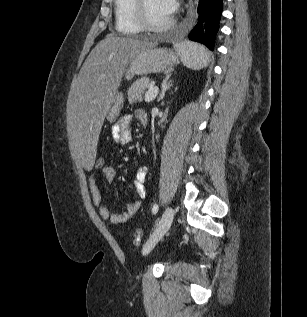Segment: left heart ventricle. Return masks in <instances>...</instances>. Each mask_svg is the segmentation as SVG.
<instances>
[{"label": "left heart ventricle", "instance_id": "left-heart-ventricle-1", "mask_svg": "<svg viewBox=\"0 0 307 317\" xmlns=\"http://www.w3.org/2000/svg\"><path fill=\"white\" fill-rule=\"evenodd\" d=\"M146 12L149 21L156 26L167 23L172 17L162 0H146Z\"/></svg>", "mask_w": 307, "mask_h": 317}]
</instances>
